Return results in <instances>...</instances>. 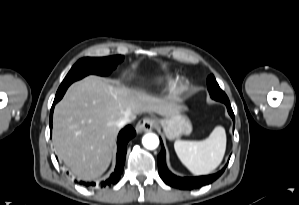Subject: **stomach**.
<instances>
[{"label": "stomach", "mask_w": 299, "mask_h": 205, "mask_svg": "<svg viewBox=\"0 0 299 205\" xmlns=\"http://www.w3.org/2000/svg\"><path fill=\"white\" fill-rule=\"evenodd\" d=\"M164 133L168 139L172 140L182 134H189L192 131L190 120L180 112L160 121Z\"/></svg>", "instance_id": "1"}]
</instances>
